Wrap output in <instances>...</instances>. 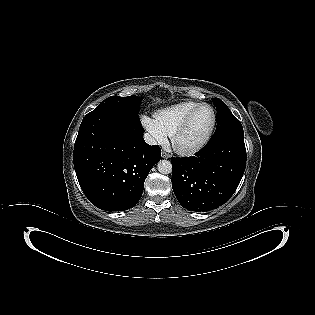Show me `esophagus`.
<instances>
[{"label": "esophagus", "mask_w": 315, "mask_h": 315, "mask_svg": "<svg viewBox=\"0 0 315 315\" xmlns=\"http://www.w3.org/2000/svg\"><path fill=\"white\" fill-rule=\"evenodd\" d=\"M162 158H164V159H169L171 156L168 154V153H166V152H162Z\"/></svg>", "instance_id": "1"}]
</instances>
